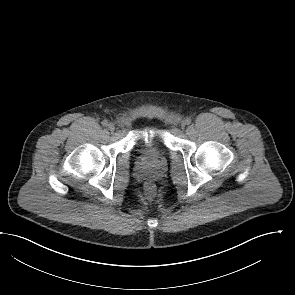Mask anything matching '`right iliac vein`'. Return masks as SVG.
<instances>
[{"label": "right iliac vein", "instance_id": "right-iliac-vein-1", "mask_svg": "<svg viewBox=\"0 0 295 295\" xmlns=\"http://www.w3.org/2000/svg\"><path fill=\"white\" fill-rule=\"evenodd\" d=\"M108 129H109L110 131H114V130H115V125H114V123H109V124H108Z\"/></svg>", "mask_w": 295, "mask_h": 295}]
</instances>
